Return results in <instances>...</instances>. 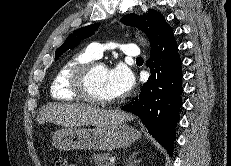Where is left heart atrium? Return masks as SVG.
Instances as JSON below:
<instances>
[{"instance_id": "left-heart-atrium-1", "label": "left heart atrium", "mask_w": 231, "mask_h": 166, "mask_svg": "<svg viewBox=\"0 0 231 166\" xmlns=\"http://www.w3.org/2000/svg\"><path fill=\"white\" fill-rule=\"evenodd\" d=\"M107 81L110 92L114 97L126 95L134 86L132 72L122 64L108 70Z\"/></svg>"}]
</instances>
